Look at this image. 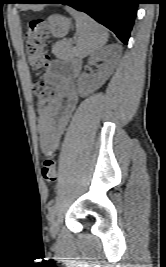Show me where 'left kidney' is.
I'll return each instance as SVG.
<instances>
[{
    "instance_id": "1",
    "label": "left kidney",
    "mask_w": 166,
    "mask_h": 267,
    "mask_svg": "<svg viewBox=\"0 0 166 267\" xmlns=\"http://www.w3.org/2000/svg\"><path fill=\"white\" fill-rule=\"evenodd\" d=\"M100 58L104 60V64L99 66L98 76L89 83H85V75L82 74L78 79V88L82 96H87L99 89L112 73V63L109 58L108 49H103L99 52L94 53L90 61L96 63Z\"/></svg>"
}]
</instances>
